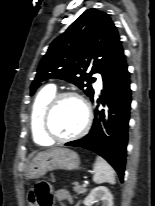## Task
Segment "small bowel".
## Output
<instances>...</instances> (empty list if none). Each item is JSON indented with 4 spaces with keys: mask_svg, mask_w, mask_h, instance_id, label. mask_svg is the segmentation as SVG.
Returning <instances> with one entry per match:
<instances>
[{
    "mask_svg": "<svg viewBox=\"0 0 155 206\" xmlns=\"http://www.w3.org/2000/svg\"><path fill=\"white\" fill-rule=\"evenodd\" d=\"M55 199L61 206H66V203L71 202L72 197L67 190L59 189L54 193ZM31 203V202H30ZM31 206H39L37 204L31 203Z\"/></svg>",
    "mask_w": 155,
    "mask_h": 206,
    "instance_id": "obj_1",
    "label": "small bowel"
}]
</instances>
